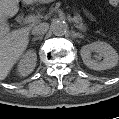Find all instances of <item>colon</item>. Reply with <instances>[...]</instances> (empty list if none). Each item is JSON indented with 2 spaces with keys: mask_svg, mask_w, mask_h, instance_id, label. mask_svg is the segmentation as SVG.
I'll return each instance as SVG.
<instances>
[{
  "mask_svg": "<svg viewBox=\"0 0 119 119\" xmlns=\"http://www.w3.org/2000/svg\"><path fill=\"white\" fill-rule=\"evenodd\" d=\"M111 4H112V5H117V1L112 0V1H111Z\"/></svg>",
  "mask_w": 119,
  "mask_h": 119,
  "instance_id": "obj_1",
  "label": "colon"
}]
</instances>
